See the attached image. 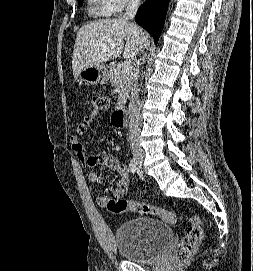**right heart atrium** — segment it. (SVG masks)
<instances>
[{"mask_svg": "<svg viewBox=\"0 0 253 271\" xmlns=\"http://www.w3.org/2000/svg\"><path fill=\"white\" fill-rule=\"evenodd\" d=\"M114 13H120L126 7L135 5L139 0H104Z\"/></svg>", "mask_w": 253, "mask_h": 271, "instance_id": "right-heart-atrium-1", "label": "right heart atrium"}]
</instances>
